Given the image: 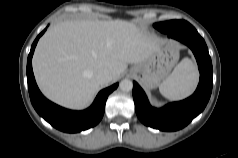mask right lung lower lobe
Here are the masks:
<instances>
[{
  "instance_id": "98d812e1",
  "label": "right lung lower lobe",
  "mask_w": 238,
  "mask_h": 158,
  "mask_svg": "<svg viewBox=\"0 0 238 158\" xmlns=\"http://www.w3.org/2000/svg\"><path fill=\"white\" fill-rule=\"evenodd\" d=\"M44 32L33 42L27 60L28 90L33 107L41 117L63 132H80L97 125L103 117L107 97L118 87V83L100 91L93 104L84 111L68 110L47 100L36 85L31 63L36 44Z\"/></svg>"
}]
</instances>
